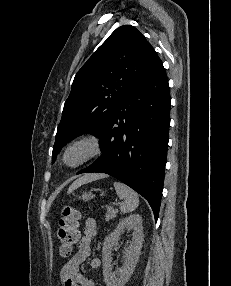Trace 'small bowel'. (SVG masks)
<instances>
[{
    "instance_id": "small-bowel-1",
    "label": "small bowel",
    "mask_w": 231,
    "mask_h": 286,
    "mask_svg": "<svg viewBox=\"0 0 231 286\" xmlns=\"http://www.w3.org/2000/svg\"><path fill=\"white\" fill-rule=\"evenodd\" d=\"M97 232V222L93 218L85 220L83 236L78 243L77 252L67 261L60 272L62 286H96V282L88 279L80 272V266L85 262L91 252V241ZM101 266V260L97 257L90 259V267L94 270Z\"/></svg>"
}]
</instances>
